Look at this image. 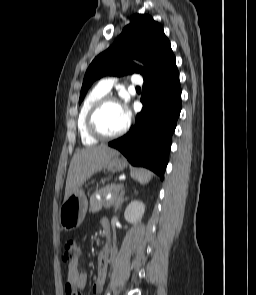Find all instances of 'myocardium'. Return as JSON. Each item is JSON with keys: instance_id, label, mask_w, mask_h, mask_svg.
<instances>
[{"instance_id": "myocardium-1", "label": "myocardium", "mask_w": 256, "mask_h": 295, "mask_svg": "<svg viewBox=\"0 0 256 295\" xmlns=\"http://www.w3.org/2000/svg\"><path fill=\"white\" fill-rule=\"evenodd\" d=\"M108 103H116L119 104L118 100L109 95H105L104 97L100 98L97 100L89 109L86 117V128L88 133L96 138L97 140H112L115 138L120 137L123 135L129 128L130 126V118L127 115L126 123L123 126L122 129L119 131L112 133V134H107L101 131L97 125V115L100 112V110Z\"/></svg>"}]
</instances>
